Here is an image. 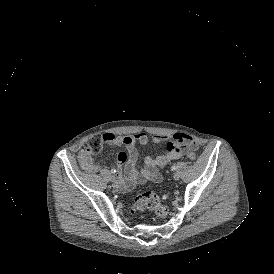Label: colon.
Masks as SVG:
<instances>
[{
	"mask_svg": "<svg viewBox=\"0 0 274 274\" xmlns=\"http://www.w3.org/2000/svg\"><path fill=\"white\" fill-rule=\"evenodd\" d=\"M102 142H100L99 136H94L89 139L85 146V152L91 156L93 152H100L102 149ZM189 161H198V156L193 152H189L186 155ZM168 195L164 194L159 196L155 192H144L137 195L130 205V211L132 213L141 211L143 209H150L158 217H163L167 214L168 207L165 205V201L168 199Z\"/></svg>",
	"mask_w": 274,
	"mask_h": 274,
	"instance_id": "obj_1",
	"label": "colon"
}]
</instances>
